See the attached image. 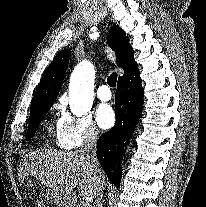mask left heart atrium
Masks as SVG:
<instances>
[{
    "mask_svg": "<svg viewBox=\"0 0 206 207\" xmlns=\"http://www.w3.org/2000/svg\"><path fill=\"white\" fill-rule=\"evenodd\" d=\"M96 121L100 128H110L115 121V114L113 109L108 105L100 106L96 113Z\"/></svg>",
    "mask_w": 206,
    "mask_h": 207,
    "instance_id": "39dd6f15",
    "label": "left heart atrium"
}]
</instances>
